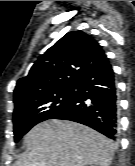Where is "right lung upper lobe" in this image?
Here are the masks:
<instances>
[{
	"label": "right lung upper lobe",
	"instance_id": "obj_1",
	"mask_svg": "<svg viewBox=\"0 0 135 166\" xmlns=\"http://www.w3.org/2000/svg\"><path fill=\"white\" fill-rule=\"evenodd\" d=\"M102 47L82 31H72L58 40L17 81L15 108L75 87L86 74L107 61Z\"/></svg>",
	"mask_w": 135,
	"mask_h": 166
}]
</instances>
